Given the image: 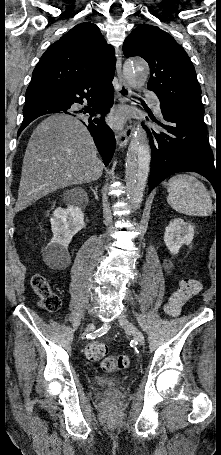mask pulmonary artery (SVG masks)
<instances>
[{"label": "pulmonary artery", "instance_id": "e3ab8cb5", "mask_svg": "<svg viewBox=\"0 0 221 455\" xmlns=\"http://www.w3.org/2000/svg\"><path fill=\"white\" fill-rule=\"evenodd\" d=\"M144 95H145V96H151V92L148 91V90H146V91H144ZM153 105H154L156 111L159 112V111H160V105H159V102H158L157 99H154Z\"/></svg>", "mask_w": 221, "mask_h": 455}]
</instances>
